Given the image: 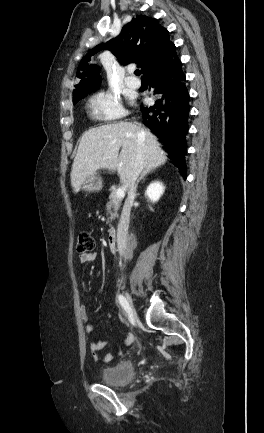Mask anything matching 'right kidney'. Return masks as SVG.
<instances>
[{
  "instance_id": "ca27d5eb",
  "label": "right kidney",
  "mask_w": 264,
  "mask_h": 433,
  "mask_svg": "<svg viewBox=\"0 0 264 433\" xmlns=\"http://www.w3.org/2000/svg\"><path fill=\"white\" fill-rule=\"evenodd\" d=\"M164 189L160 181H154L147 187L145 195L150 201L157 202L163 194Z\"/></svg>"
}]
</instances>
